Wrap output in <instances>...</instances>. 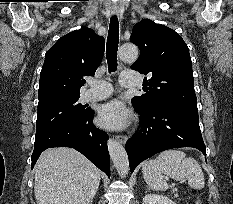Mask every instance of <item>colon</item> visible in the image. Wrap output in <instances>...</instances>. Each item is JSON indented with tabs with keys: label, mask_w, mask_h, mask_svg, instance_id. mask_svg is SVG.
<instances>
[{
	"label": "colon",
	"mask_w": 233,
	"mask_h": 204,
	"mask_svg": "<svg viewBox=\"0 0 233 204\" xmlns=\"http://www.w3.org/2000/svg\"><path fill=\"white\" fill-rule=\"evenodd\" d=\"M196 204H200V201H197Z\"/></svg>",
	"instance_id": "obj_1"
}]
</instances>
